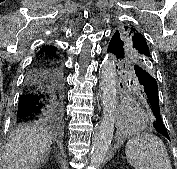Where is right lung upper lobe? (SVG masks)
<instances>
[{
  "instance_id": "obj_1",
  "label": "right lung upper lobe",
  "mask_w": 177,
  "mask_h": 169,
  "mask_svg": "<svg viewBox=\"0 0 177 169\" xmlns=\"http://www.w3.org/2000/svg\"><path fill=\"white\" fill-rule=\"evenodd\" d=\"M56 51H57V48L56 47H52V46H43L40 49V52H45V53H47L50 56H53L55 58H59L58 55L56 54Z\"/></svg>"
}]
</instances>
